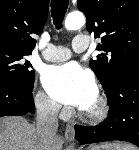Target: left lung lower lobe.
I'll return each mask as SVG.
<instances>
[{
	"mask_svg": "<svg viewBox=\"0 0 139 150\" xmlns=\"http://www.w3.org/2000/svg\"><path fill=\"white\" fill-rule=\"evenodd\" d=\"M107 98L106 120L97 126L76 125V139L83 144L121 140L139 147V63L122 72Z\"/></svg>",
	"mask_w": 139,
	"mask_h": 150,
	"instance_id": "obj_1",
	"label": "left lung lower lobe"
}]
</instances>
